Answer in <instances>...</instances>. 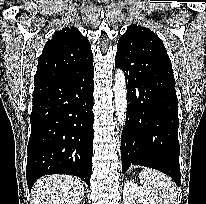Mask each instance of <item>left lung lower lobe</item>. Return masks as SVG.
Masks as SVG:
<instances>
[{
  "mask_svg": "<svg viewBox=\"0 0 206 204\" xmlns=\"http://www.w3.org/2000/svg\"><path fill=\"white\" fill-rule=\"evenodd\" d=\"M126 74L128 106L121 138L122 172L131 165L157 169L180 186L178 105L173 71L143 62L131 68L115 57Z\"/></svg>",
  "mask_w": 206,
  "mask_h": 204,
  "instance_id": "0a47b994",
  "label": "left lung lower lobe"
}]
</instances>
